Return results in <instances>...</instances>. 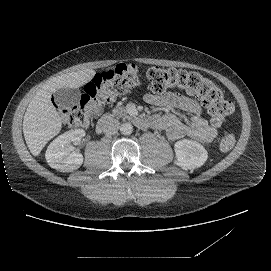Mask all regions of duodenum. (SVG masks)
Masks as SVG:
<instances>
[{"instance_id":"duodenum-1","label":"duodenum","mask_w":271,"mask_h":271,"mask_svg":"<svg viewBox=\"0 0 271 271\" xmlns=\"http://www.w3.org/2000/svg\"><path fill=\"white\" fill-rule=\"evenodd\" d=\"M138 123L144 126L147 122L144 119H141ZM116 128L117 123L111 116L102 117L96 125V131L102 134H112L115 132Z\"/></svg>"}]
</instances>
